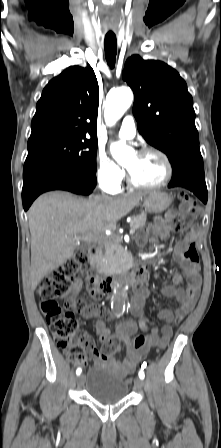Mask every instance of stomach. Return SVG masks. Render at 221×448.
<instances>
[{"label":"stomach","instance_id":"obj_1","mask_svg":"<svg viewBox=\"0 0 221 448\" xmlns=\"http://www.w3.org/2000/svg\"><path fill=\"white\" fill-rule=\"evenodd\" d=\"M172 198L165 192L153 191L144 195L143 205L146 211L159 214L171 204Z\"/></svg>","mask_w":221,"mask_h":448}]
</instances>
